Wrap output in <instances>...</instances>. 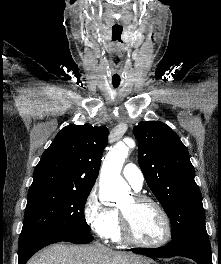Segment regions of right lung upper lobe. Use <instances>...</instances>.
I'll use <instances>...</instances> for the list:
<instances>
[{"instance_id":"right-lung-upper-lobe-1","label":"right lung upper lobe","mask_w":221,"mask_h":264,"mask_svg":"<svg viewBox=\"0 0 221 264\" xmlns=\"http://www.w3.org/2000/svg\"><path fill=\"white\" fill-rule=\"evenodd\" d=\"M108 129L69 125L55 137L36 166L29 191L42 188L88 190L99 174Z\"/></svg>"}]
</instances>
